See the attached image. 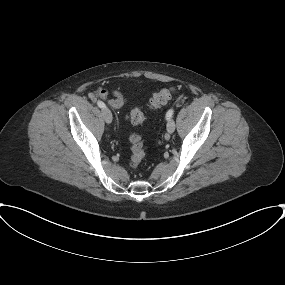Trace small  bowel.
Segmentation results:
<instances>
[{
    "mask_svg": "<svg viewBox=\"0 0 285 285\" xmlns=\"http://www.w3.org/2000/svg\"><path fill=\"white\" fill-rule=\"evenodd\" d=\"M96 96L106 100L115 109L121 108L126 102V96L118 90L99 88Z\"/></svg>",
    "mask_w": 285,
    "mask_h": 285,
    "instance_id": "small-bowel-1",
    "label": "small bowel"
}]
</instances>
